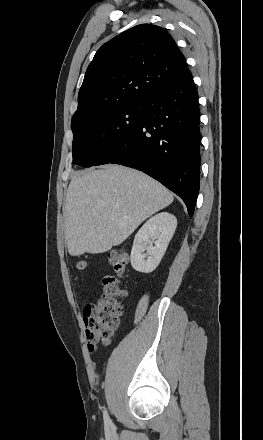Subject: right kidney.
I'll return each instance as SVG.
<instances>
[{
	"mask_svg": "<svg viewBox=\"0 0 263 440\" xmlns=\"http://www.w3.org/2000/svg\"><path fill=\"white\" fill-rule=\"evenodd\" d=\"M176 227L177 219L170 213L162 212L151 217L135 235L131 250L133 269L142 273L155 270L165 254ZM154 240H156L155 246H153Z\"/></svg>",
	"mask_w": 263,
	"mask_h": 440,
	"instance_id": "1",
	"label": "right kidney"
}]
</instances>
